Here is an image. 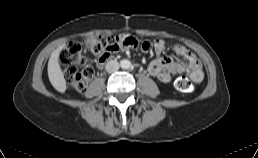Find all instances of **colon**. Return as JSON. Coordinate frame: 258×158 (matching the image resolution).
I'll return each mask as SVG.
<instances>
[{"instance_id": "5ec220e1", "label": "colon", "mask_w": 258, "mask_h": 158, "mask_svg": "<svg viewBox=\"0 0 258 158\" xmlns=\"http://www.w3.org/2000/svg\"><path fill=\"white\" fill-rule=\"evenodd\" d=\"M137 45V40L127 35H93L84 38L81 44L68 43L60 52V62L69 87L82 93L93 77V69L88 65L84 50L99 58H107L122 48H135ZM176 86L185 93H191L195 89L193 80L187 77L180 78L176 82Z\"/></svg>"}]
</instances>
